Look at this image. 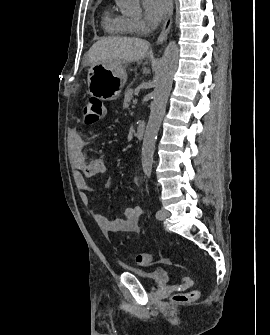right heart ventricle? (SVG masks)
I'll use <instances>...</instances> for the list:
<instances>
[{"label":"right heart ventricle","instance_id":"1","mask_svg":"<svg viewBox=\"0 0 270 335\" xmlns=\"http://www.w3.org/2000/svg\"><path fill=\"white\" fill-rule=\"evenodd\" d=\"M102 24L104 30L109 34L123 35L133 32L131 19L123 14L110 10H106L103 13Z\"/></svg>","mask_w":270,"mask_h":335}]
</instances>
